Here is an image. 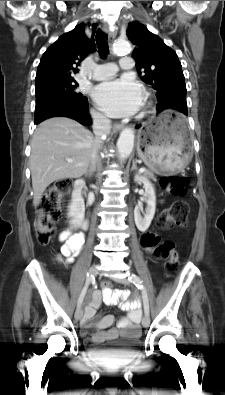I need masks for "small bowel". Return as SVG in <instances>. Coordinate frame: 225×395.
<instances>
[{"mask_svg":"<svg viewBox=\"0 0 225 395\" xmlns=\"http://www.w3.org/2000/svg\"><path fill=\"white\" fill-rule=\"evenodd\" d=\"M60 241L63 243L61 247V256L72 262L82 249L84 244V236L81 233L72 234L65 231L60 235ZM128 292L125 290H113L112 288H103L101 292H94L92 299L86 306L82 319V327L94 328L92 341L96 344H102L106 341L113 340L119 335L129 338H136L140 335L138 326L141 311L137 301H128ZM118 304L119 307L128 312L126 317L118 321L117 328H110L114 322V318L110 315L104 316L92 322L97 309L101 303ZM86 336V333H82Z\"/></svg>","mask_w":225,"mask_h":395,"instance_id":"small-bowel-1","label":"small bowel"}]
</instances>
